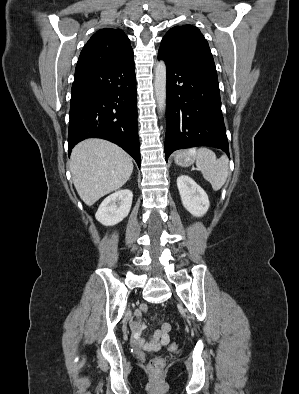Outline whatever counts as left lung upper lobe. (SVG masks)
<instances>
[{
  "label": "left lung upper lobe",
  "instance_id": "obj_1",
  "mask_svg": "<svg viewBox=\"0 0 299 394\" xmlns=\"http://www.w3.org/2000/svg\"><path fill=\"white\" fill-rule=\"evenodd\" d=\"M158 53L174 62L214 63L208 42L200 30L192 25L171 28L162 39Z\"/></svg>",
  "mask_w": 299,
  "mask_h": 394
}]
</instances>
